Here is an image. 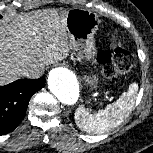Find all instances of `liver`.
<instances>
[{
	"label": "liver",
	"mask_w": 153,
	"mask_h": 153,
	"mask_svg": "<svg viewBox=\"0 0 153 153\" xmlns=\"http://www.w3.org/2000/svg\"><path fill=\"white\" fill-rule=\"evenodd\" d=\"M68 54L65 18L26 13L0 22V85L18 79L29 64L47 65Z\"/></svg>",
	"instance_id": "6515ba94"
}]
</instances>
